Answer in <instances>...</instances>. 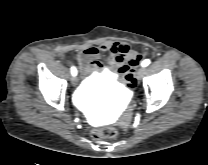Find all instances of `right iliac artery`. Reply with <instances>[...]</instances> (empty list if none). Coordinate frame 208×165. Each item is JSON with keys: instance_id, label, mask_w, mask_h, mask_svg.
<instances>
[{"instance_id": "obj_1", "label": "right iliac artery", "mask_w": 208, "mask_h": 165, "mask_svg": "<svg viewBox=\"0 0 208 165\" xmlns=\"http://www.w3.org/2000/svg\"><path fill=\"white\" fill-rule=\"evenodd\" d=\"M71 73H72L73 76L77 75V69L74 66L71 67Z\"/></svg>"}]
</instances>
